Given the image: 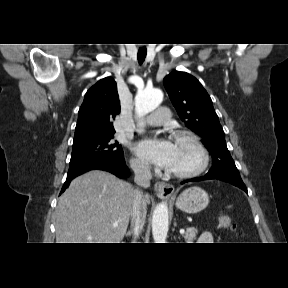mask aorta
<instances>
[{"label": "aorta", "mask_w": 288, "mask_h": 288, "mask_svg": "<svg viewBox=\"0 0 288 288\" xmlns=\"http://www.w3.org/2000/svg\"><path fill=\"white\" fill-rule=\"evenodd\" d=\"M163 100L159 89L143 90L135 97V112L139 118L156 109ZM168 207L166 203L157 205L152 216V235L154 243H166L168 233Z\"/></svg>", "instance_id": "762f6f07"}]
</instances>
